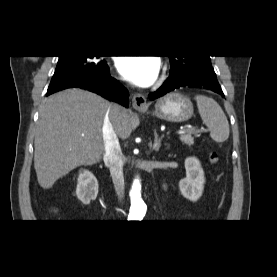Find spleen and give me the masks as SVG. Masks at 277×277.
Masks as SVG:
<instances>
[{
	"label": "spleen",
	"mask_w": 277,
	"mask_h": 277,
	"mask_svg": "<svg viewBox=\"0 0 277 277\" xmlns=\"http://www.w3.org/2000/svg\"><path fill=\"white\" fill-rule=\"evenodd\" d=\"M195 100L202 121L210 131L211 138L218 143L226 141L229 137V124L220 105L214 99L204 95H197Z\"/></svg>",
	"instance_id": "3e777b00"
}]
</instances>
